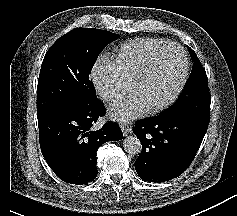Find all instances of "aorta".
Returning <instances> with one entry per match:
<instances>
[{
	"instance_id": "obj_1",
	"label": "aorta",
	"mask_w": 237,
	"mask_h": 216,
	"mask_svg": "<svg viewBox=\"0 0 237 216\" xmlns=\"http://www.w3.org/2000/svg\"><path fill=\"white\" fill-rule=\"evenodd\" d=\"M122 144L124 151L128 154L137 155L141 153L142 144L137 136H126Z\"/></svg>"
}]
</instances>
